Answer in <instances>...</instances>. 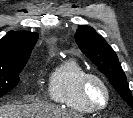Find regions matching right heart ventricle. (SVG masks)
<instances>
[{"instance_id": "right-heart-ventricle-1", "label": "right heart ventricle", "mask_w": 133, "mask_h": 118, "mask_svg": "<svg viewBox=\"0 0 133 118\" xmlns=\"http://www.w3.org/2000/svg\"><path fill=\"white\" fill-rule=\"evenodd\" d=\"M88 74L87 70L75 59H67L58 64L51 72L48 80L49 98L74 112L91 114L81 93V83Z\"/></svg>"}]
</instances>
